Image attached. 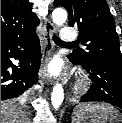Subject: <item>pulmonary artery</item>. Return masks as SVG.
<instances>
[{"label": "pulmonary artery", "mask_w": 122, "mask_h": 123, "mask_svg": "<svg viewBox=\"0 0 122 123\" xmlns=\"http://www.w3.org/2000/svg\"><path fill=\"white\" fill-rule=\"evenodd\" d=\"M77 39V35L73 29L65 27L61 31V40L67 43H72Z\"/></svg>", "instance_id": "pulmonary-artery-1"}]
</instances>
